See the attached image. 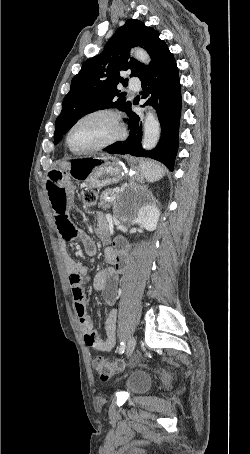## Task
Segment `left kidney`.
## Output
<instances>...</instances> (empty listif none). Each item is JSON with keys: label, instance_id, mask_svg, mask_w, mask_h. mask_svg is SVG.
<instances>
[{"label": "left kidney", "instance_id": "1", "mask_svg": "<svg viewBox=\"0 0 250 454\" xmlns=\"http://www.w3.org/2000/svg\"><path fill=\"white\" fill-rule=\"evenodd\" d=\"M160 216V210L155 204H148L138 212L136 222L148 231H154Z\"/></svg>", "mask_w": 250, "mask_h": 454}]
</instances>
